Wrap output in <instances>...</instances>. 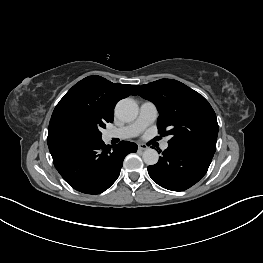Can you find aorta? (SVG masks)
<instances>
[{
    "label": "aorta",
    "mask_w": 263,
    "mask_h": 263,
    "mask_svg": "<svg viewBox=\"0 0 263 263\" xmlns=\"http://www.w3.org/2000/svg\"><path fill=\"white\" fill-rule=\"evenodd\" d=\"M115 113L124 122L133 121L138 115V105L130 98L122 99L117 103ZM142 158L147 165H155L159 160V154L155 149L148 148L143 152Z\"/></svg>",
    "instance_id": "obj_1"
}]
</instances>
